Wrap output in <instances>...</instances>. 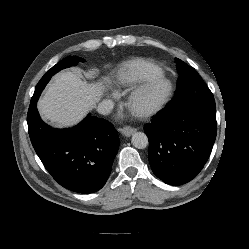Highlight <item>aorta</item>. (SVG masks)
Segmentation results:
<instances>
[{
    "label": "aorta",
    "mask_w": 249,
    "mask_h": 249,
    "mask_svg": "<svg viewBox=\"0 0 249 249\" xmlns=\"http://www.w3.org/2000/svg\"><path fill=\"white\" fill-rule=\"evenodd\" d=\"M131 143L137 149H144L148 146V137L143 132H135L131 137Z\"/></svg>",
    "instance_id": "obj_1"
}]
</instances>
